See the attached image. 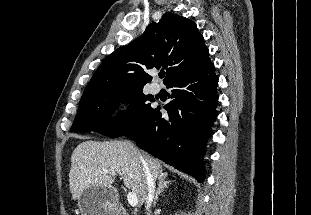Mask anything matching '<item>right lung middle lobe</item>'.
<instances>
[{
  "label": "right lung middle lobe",
  "mask_w": 311,
  "mask_h": 215,
  "mask_svg": "<svg viewBox=\"0 0 311 215\" xmlns=\"http://www.w3.org/2000/svg\"><path fill=\"white\" fill-rule=\"evenodd\" d=\"M148 101H153L152 97L138 90L101 95L80 102L71 131H95L112 138L120 137L152 110ZM122 103L129 104V110L121 111L112 118L111 115Z\"/></svg>",
  "instance_id": "dd1d6c3e"
}]
</instances>
